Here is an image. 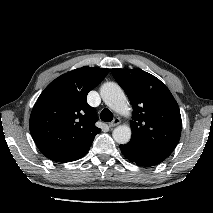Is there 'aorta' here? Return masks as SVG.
Instances as JSON below:
<instances>
[{"mask_svg": "<svg viewBox=\"0 0 213 213\" xmlns=\"http://www.w3.org/2000/svg\"><path fill=\"white\" fill-rule=\"evenodd\" d=\"M100 95L104 103L113 111L126 115L129 113L127 98L121 87L114 82H107L102 85ZM113 139L119 144H126L131 138V128L128 125L117 126L112 133Z\"/></svg>", "mask_w": 213, "mask_h": 213, "instance_id": "aorta-1", "label": "aorta"}]
</instances>
